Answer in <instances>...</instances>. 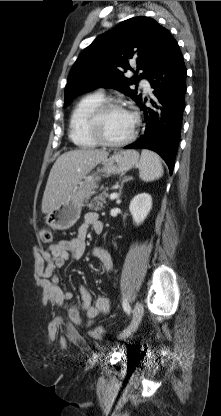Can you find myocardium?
Here are the masks:
<instances>
[{"mask_svg": "<svg viewBox=\"0 0 221 416\" xmlns=\"http://www.w3.org/2000/svg\"><path fill=\"white\" fill-rule=\"evenodd\" d=\"M111 108H121L128 111L133 118V124L130 134L121 141H111L106 138L104 135L101 122L104 113L111 109ZM140 124V118L138 114L132 110L131 108L127 107L122 101L116 99H106L101 102L91 113L89 120H88V131L91 136L101 145L111 147V148H119L129 144L136 136L138 127Z\"/></svg>", "mask_w": 221, "mask_h": 416, "instance_id": "1", "label": "myocardium"}]
</instances>
